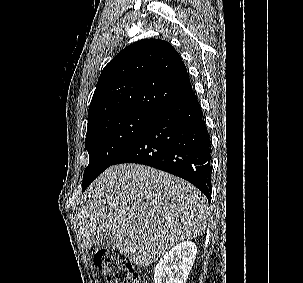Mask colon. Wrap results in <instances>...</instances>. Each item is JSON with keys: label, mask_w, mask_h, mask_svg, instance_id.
<instances>
[{"label": "colon", "mask_w": 303, "mask_h": 283, "mask_svg": "<svg viewBox=\"0 0 303 283\" xmlns=\"http://www.w3.org/2000/svg\"><path fill=\"white\" fill-rule=\"evenodd\" d=\"M95 266L103 273L108 283H149L130 262L108 249L97 248L93 253Z\"/></svg>", "instance_id": "colon-1"}]
</instances>
